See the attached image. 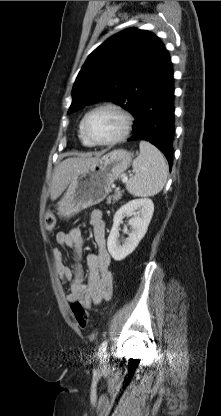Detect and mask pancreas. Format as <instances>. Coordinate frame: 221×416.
<instances>
[{"instance_id": "pancreas-1", "label": "pancreas", "mask_w": 221, "mask_h": 416, "mask_svg": "<svg viewBox=\"0 0 221 416\" xmlns=\"http://www.w3.org/2000/svg\"><path fill=\"white\" fill-rule=\"evenodd\" d=\"M122 197V192L121 191H115L114 195H111L107 198V204H114L115 202H117L118 200H120Z\"/></svg>"}]
</instances>
